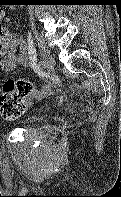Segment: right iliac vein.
<instances>
[{
  "label": "right iliac vein",
  "mask_w": 121,
  "mask_h": 197,
  "mask_svg": "<svg viewBox=\"0 0 121 197\" xmlns=\"http://www.w3.org/2000/svg\"><path fill=\"white\" fill-rule=\"evenodd\" d=\"M34 35L39 47L42 60L44 62V67L47 69L48 72H51L53 70L54 60L52 58L50 50L48 49L44 39L36 31H34Z\"/></svg>",
  "instance_id": "right-iliac-vein-1"
}]
</instances>
